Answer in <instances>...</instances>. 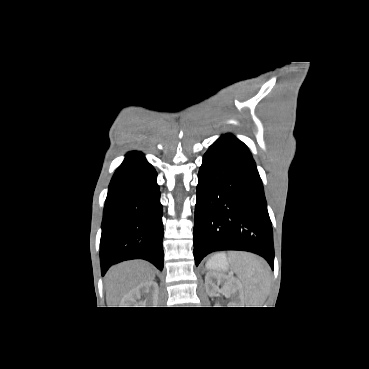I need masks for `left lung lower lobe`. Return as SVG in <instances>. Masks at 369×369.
I'll return each instance as SVG.
<instances>
[{
	"instance_id": "1",
	"label": "left lung lower lobe",
	"mask_w": 369,
	"mask_h": 369,
	"mask_svg": "<svg viewBox=\"0 0 369 369\" xmlns=\"http://www.w3.org/2000/svg\"><path fill=\"white\" fill-rule=\"evenodd\" d=\"M196 266L209 253H256L274 269L272 225L262 181L247 146L221 136L203 156L195 206Z\"/></svg>"
}]
</instances>
